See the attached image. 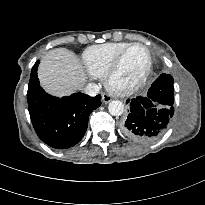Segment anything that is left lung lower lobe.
I'll use <instances>...</instances> for the list:
<instances>
[{"label": "left lung lower lobe", "mask_w": 205, "mask_h": 205, "mask_svg": "<svg viewBox=\"0 0 205 205\" xmlns=\"http://www.w3.org/2000/svg\"><path fill=\"white\" fill-rule=\"evenodd\" d=\"M169 95V92L155 87L148 91L147 96L128 100L130 111L122 124L124 134L141 143H150L161 137L174 114V101Z\"/></svg>", "instance_id": "obj_1"}]
</instances>
